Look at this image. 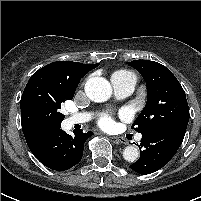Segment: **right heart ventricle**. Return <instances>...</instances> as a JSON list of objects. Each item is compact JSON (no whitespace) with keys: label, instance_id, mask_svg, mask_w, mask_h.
<instances>
[{"label":"right heart ventricle","instance_id":"e07e8e85","mask_svg":"<svg viewBox=\"0 0 201 201\" xmlns=\"http://www.w3.org/2000/svg\"><path fill=\"white\" fill-rule=\"evenodd\" d=\"M132 73L128 70H125V69H120V70H117L115 71L111 78H114V77H125V76H128V75H131Z\"/></svg>","mask_w":201,"mask_h":201}]
</instances>
